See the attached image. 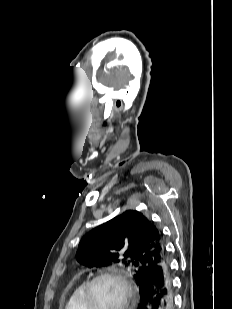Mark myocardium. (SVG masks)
<instances>
[{
	"mask_svg": "<svg viewBox=\"0 0 232 309\" xmlns=\"http://www.w3.org/2000/svg\"><path fill=\"white\" fill-rule=\"evenodd\" d=\"M110 278L117 281L123 289V301L119 309H128L134 296L132 284L126 275L117 269L101 271L90 278L85 285L82 301L85 309H94L92 305V289L96 282L101 279Z\"/></svg>",
	"mask_w": 232,
	"mask_h": 309,
	"instance_id": "1",
	"label": "myocardium"
}]
</instances>
